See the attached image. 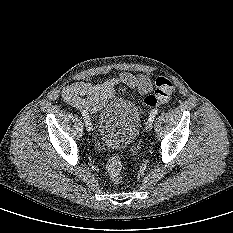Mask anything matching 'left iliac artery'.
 <instances>
[{"instance_id": "1", "label": "left iliac artery", "mask_w": 233, "mask_h": 233, "mask_svg": "<svg viewBox=\"0 0 233 233\" xmlns=\"http://www.w3.org/2000/svg\"><path fill=\"white\" fill-rule=\"evenodd\" d=\"M157 113H158V109H154V110L151 112L150 116H149V120L154 121V118H155V116H156Z\"/></svg>"}]
</instances>
